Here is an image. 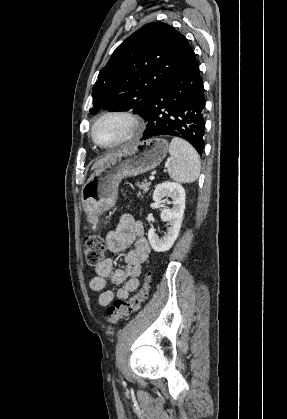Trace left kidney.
<instances>
[{"label": "left kidney", "instance_id": "obj_1", "mask_svg": "<svg viewBox=\"0 0 287 419\" xmlns=\"http://www.w3.org/2000/svg\"><path fill=\"white\" fill-rule=\"evenodd\" d=\"M185 195V190L179 183L163 182L156 187L153 193V200L161 202L164 197H170L172 198L173 207L164 209L161 213L162 221L169 222L170 225L167 233L162 238H159L153 227L148 231V240L154 251H168L176 241L185 210Z\"/></svg>", "mask_w": 287, "mask_h": 419}]
</instances>
